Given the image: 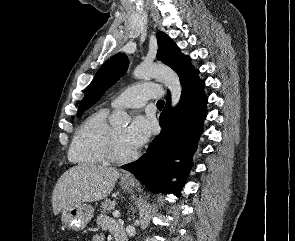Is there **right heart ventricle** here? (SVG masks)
<instances>
[{
	"label": "right heart ventricle",
	"instance_id": "obj_1",
	"mask_svg": "<svg viewBox=\"0 0 295 241\" xmlns=\"http://www.w3.org/2000/svg\"><path fill=\"white\" fill-rule=\"evenodd\" d=\"M108 111L99 109L87 117L77 129L69 152V160L80 166H98L108 159L105 153L111 127L107 123Z\"/></svg>",
	"mask_w": 295,
	"mask_h": 241
}]
</instances>
